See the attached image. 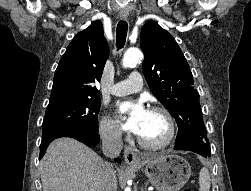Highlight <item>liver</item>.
Listing matches in <instances>:
<instances>
[{
    "mask_svg": "<svg viewBox=\"0 0 251 191\" xmlns=\"http://www.w3.org/2000/svg\"><path fill=\"white\" fill-rule=\"evenodd\" d=\"M43 191H116L112 163L73 137H58L40 161Z\"/></svg>",
    "mask_w": 251,
    "mask_h": 191,
    "instance_id": "6515ba94",
    "label": "liver"
}]
</instances>
